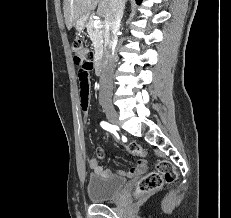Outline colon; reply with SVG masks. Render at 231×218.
<instances>
[{
    "instance_id": "1",
    "label": "colon",
    "mask_w": 231,
    "mask_h": 218,
    "mask_svg": "<svg viewBox=\"0 0 231 218\" xmlns=\"http://www.w3.org/2000/svg\"><path fill=\"white\" fill-rule=\"evenodd\" d=\"M73 59L77 66L93 60V51L87 47L79 38H75L71 44ZM126 149L129 153L135 155H144V149L137 143H128ZM178 178V174L171 162L167 160H158L156 170L145 175L137 184L136 196H145L160 189L164 183H173Z\"/></svg>"
}]
</instances>
